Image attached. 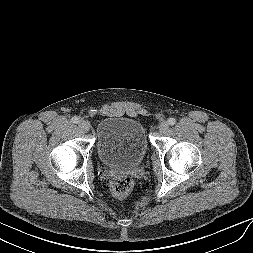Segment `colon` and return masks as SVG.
Listing matches in <instances>:
<instances>
[{
  "instance_id": "5ec220e1",
  "label": "colon",
  "mask_w": 253,
  "mask_h": 253,
  "mask_svg": "<svg viewBox=\"0 0 253 253\" xmlns=\"http://www.w3.org/2000/svg\"><path fill=\"white\" fill-rule=\"evenodd\" d=\"M134 182L129 176H118L116 177L111 185L112 192L117 197L127 196L133 189Z\"/></svg>"
}]
</instances>
